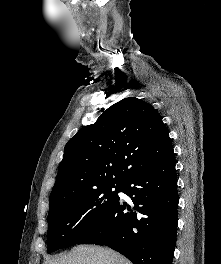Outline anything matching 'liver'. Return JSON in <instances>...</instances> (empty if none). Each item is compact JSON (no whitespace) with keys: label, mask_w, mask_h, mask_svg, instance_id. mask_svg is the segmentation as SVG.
<instances>
[{"label":"liver","mask_w":221,"mask_h":264,"mask_svg":"<svg viewBox=\"0 0 221 264\" xmlns=\"http://www.w3.org/2000/svg\"><path fill=\"white\" fill-rule=\"evenodd\" d=\"M43 264H132L111 249L98 246H77L68 254L47 258Z\"/></svg>","instance_id":"1"}]
</instances>
